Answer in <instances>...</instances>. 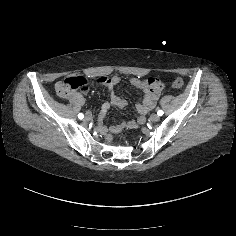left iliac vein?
Listing matches in <instances>:
<instances>
[{
    "instance_id": "1",
    "label": "left iliac vein",
    "mask_w": 236,
    "mask_h": 236,
    "mask_svg": "<svg viewBox=\"0 0 236 236\" xmlns=\"http://www.w3.org/2000/svg\"><path fill=\"white\" fill-rule=\"evenodd\" d=\"M159 119H160V116L157 115V114H152V115H150V117H149V120H150L151 122H157V121H159Z\"/></svg>"
}]
</instances>
